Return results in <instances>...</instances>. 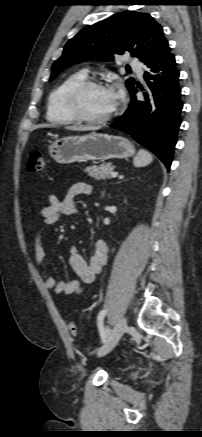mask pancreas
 I'll return each mask as SVG.
<instances>
[{
  "label": "pancreas",
  "mask_w": 202,
  "mask_h": 437,
  "mask_svg": "<svg viewBox=\"0 0 202 437\" xmlns=\"http://www.w3.org/2000/svg\"><path fill=\"white\" fill-rule=\"evenodd\" d=\"M114 170V166L111 163L101 164L99 166H91L85 169V172L88 173V176L100 180L111 178V173Z\"/></svg>",
  "instance_id": "pancreas-1"
}]
</instances>
